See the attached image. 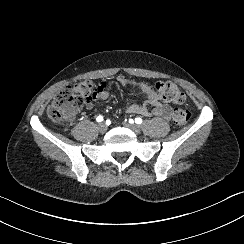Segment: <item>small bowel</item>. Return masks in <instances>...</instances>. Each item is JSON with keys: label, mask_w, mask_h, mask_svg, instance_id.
Returning <instances> with one entry per match:
<instances>
[{"label": "small bowel", "mask_w": 244, "mask_h": 244, "mask_svg": "<svg viewBox=\"0 0 244 244\" xmlns=\"http://www.w3.org/2000/svg\"><path fill=\"white\" fill-rule=\"evenodd\" d=\"M118 82L122 85L133 86L143 98L142 104L127 105L125 110L128 113L137 114L144 117H159L163 119H169L171 117V106L165 103L149 84L138 81H130L124 76H119ZM109 97L110 91L108 83H99L96 89V98L100 101H106L109 99ZM86 107L89 110L94 109V102L88 101Z\"/></svg>", "instance_id": "1"}]
</instances>
